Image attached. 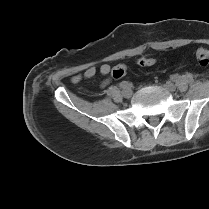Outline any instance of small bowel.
<instances>
[{
  "instance_id": "c3829d8e",
  "label": "small bowel",
  "mask_w": 209,
  "mask_h": 209,
  "mask_svg": "<svg viewBox=\"0 0 209 209\" xmlns=\"http://www.w3.org/2000/svg\"><path fill=\"white\" fill-rule=\"evenodd\" d=\"M100 72L103 75H106L110 72V65L109 64H103L100 68ZM96 73V69L94 67H91L89 69H87V71L85 72L84 76L85 78H92ZM105 85V83H104Z\"/></svg>"
}]
</instances>
